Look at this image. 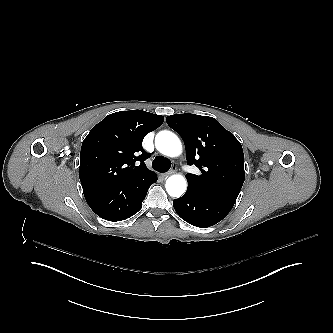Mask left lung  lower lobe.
I'll list each match as a JSON object with an SVG mask.
<instances>
[{
    "label": "left lung lower lobe",
    "instance_id": "0a47b994",
    "mask_svg": "<svg viewBox=\"0 0 333 333\" xmlns=\"http://www.w3.org/2000/svg\"><path fill=\"white\" fill-rule=\"evenodd\" d=\"M173 205L177 214L189 224L210 227L227 216L234 204L186 192L181 198L174 200Z\"/></svg>",
    "mask_w": 333,
    "mask_h": 333
}]
</instances>
